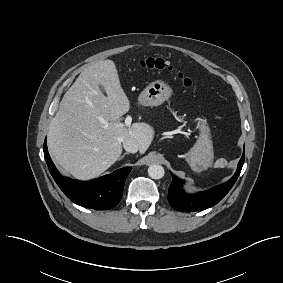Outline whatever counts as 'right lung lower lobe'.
Here are the masks:
<instances>
[{
    "mask_svg": "<svg viewBox=\"0 0 283 283\" xmlns=\"http://www.w3.org/2000/svg\"><path fill=\"white\" fill-rule=\"evenodd\" d=\"M44 156L52 177L63 193L76 204L91 209L106 210L115 207L122 197L125 180L132 169H118L93 181L82 182L63 177L58 172L49 156L46 139Z\"/></svg>",
    "mask_w": 283,
    "mask_h": 283,
    "instance_id": "right-lung-lower-lobe-1",
    "label": "right lung lower lobe"
}]
</instances>
